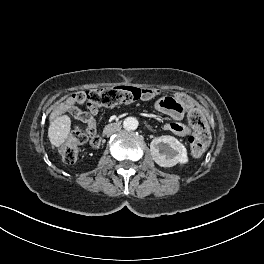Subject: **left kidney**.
<instances>
[{"label":"left kidney","instance_id":"1","mask_svg":"<svg viewBox=\"0 0 264 264\" xmlns=\"http://www.w3.org/2000/svg\"><path fill=\"white\" fill-rule=\"evenodd\" d=\"M153 160L161 167H172L188 162L187 150L175 137L164 135L156 137L150 144Z\"/></svg>","mask_w":264,"mask_h":264}]
</instances>
